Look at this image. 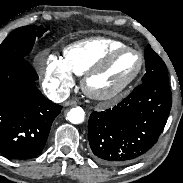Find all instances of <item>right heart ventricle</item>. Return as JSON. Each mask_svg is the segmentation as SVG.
Wrapping results in <instances>:
<instances>
[{"label":"right heart ventricle","mask_w":183,"mask_h":183,"mask_svg":"<svg viewBox=\"0 0 183 183\" xmlns=\"http://www.w3.org/2000/svg\"><path fill=\"white\" fill-rule=\"evenodd\" d=\"M122 46L126 45L115 39L93 37L65 47L62 60L71 73L82 76L108 52Z\"/></svg>","instance_id":"obj_1"}]
</instances>
